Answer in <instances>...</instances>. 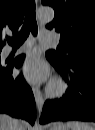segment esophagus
<instances>
[{"instance_id":"1","label":"esophagus","mask_w":95,"mask_h":130,"mask_svg":"<svg viewBox=\"0 0 95 130\" xmlns=\"http://www.w3.org/2000/svg\"><path fill=\"white\" fill-rule=\"evenodd\" d=\"M32 90H33V95H34L36 104L38 106V109H39V111H41L43 104H44V99H43V97L40 93V90L37 86H33Z\"/></svg>"}]
</instances>
